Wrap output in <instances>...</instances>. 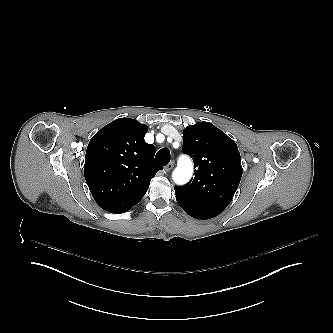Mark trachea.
<instances>
[{
  "instance_id": "3493384b",
  "label": "trachea",
  "mask_w": 333,
  "mask_h": 333,
  "mask_svg": "<svg viewBox=\"0 0 333 333\" xmlns=\"http://www.w3.org/2000/svg\"><path fill=\"white\" fill-rule=\"evenodd\" d=\"M170 157L171 155L169 149L162 148L157 152L155 159L161 165H167L170 161Z\"/></svg>"
}]
</instances>
